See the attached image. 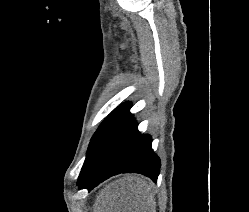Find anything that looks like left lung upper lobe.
Masks as SVG:
<instances>
[{
  "label": "left lung upper lobe",
  "instance_id": "1",
  "mask_svg": "<svg viewBox=\"0 0 249 212\" xmlns=\"http://www.w3.org/2000/svg\"><path fill=\"white\" fill-rule=\"evenodd\" d=\"M131 107L130 103H124L119 106L116 110H114L99 126L98 130L93 135L91 142L88 147L87 155L85 162L82 167V171L86 167L88 161L90 160L91 156L93 155L97 145L103 138V136L107 133V131L113 126V124L121 118ZM81 171V172H82ZM81 174V173H80Z\"/></svg>",
  "mask_w": 249,
  "mask_h": 212
}]
</instances>
